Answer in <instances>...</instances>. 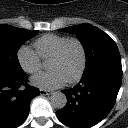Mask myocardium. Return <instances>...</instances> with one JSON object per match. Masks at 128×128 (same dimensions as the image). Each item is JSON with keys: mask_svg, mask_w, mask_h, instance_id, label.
<instances>
[{"mask_svg": "<svg viewBox=\"0 0 128 128\" xmlns=\"http://www.w3.org/2000/svg\"><path fill=\"white\" fill-rule=\"evenodd\" d=\"M72 45H77L81 51V56H82V62H81V67L78 73L71 79L67 80L68 83H76L78 82L84 75L86 68H87V63H88V55H87V50L84 45V43L77 39V38H70L68 41H66L63 46L59 49V51L52 57L50 60H62Z\"/></svg>", "mask_w": 128, "mask_h": 128, "instance_id": "1", "label": "myocardium"}]
</instances>
